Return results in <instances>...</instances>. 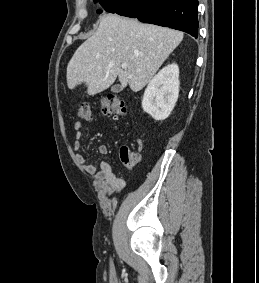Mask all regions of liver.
I'll return each instance as SVG.
<instances>
[{
    "label": "liver",
    "mask_w": 259,
    "mask_h": 283,
    "mask_svg": "<svg viewBox=\"0 0 259 283\" xmlns=\"http://www.w3.org/2000/svg\"><path fill=\"white\" fill-rule=\"evenodd\" d=\"M183 33L118 15H104L94 35L74 53L67 66L70 89L85 83L93 96L119 78L122 88L140 91L180 44ZM128 65L123 69L121 65Z\"/></svg>",
    "instance_id": "6515ba94"
}]
</instances>
